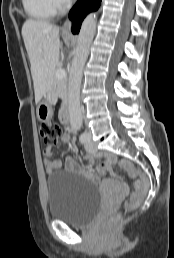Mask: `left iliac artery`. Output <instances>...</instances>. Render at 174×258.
Listing matches in <instances>:
<instances>
[{"label":"left iliac artery","instance_id":"left-iliac-artery-1","mask_svg":"<svg viewBox=\"0 0 174 258\" xmlns=\"http://www.w3.org/2000/svg\"><path fill=\"white\" fill-rule=\"evenodd\" d=\"M79 140L81 143H86L87 141V134L84 132L80 135Z\"/></svg>","mask_w":174,"mask_h":258}]
</instances>
